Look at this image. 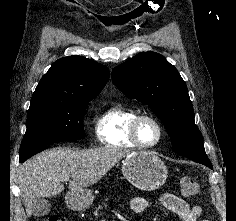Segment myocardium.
<instances>
[{"instance_id":"1","label":"myocardium","mask_w":236,"mask_h":221,"mask_svg":"<svg viewBox=\"0 0 236 221\" xmlns=\"http://www.w3.org/2000/svg\"><path fill=\"white\" fill-rule=\"evenodd\" d=\"M144 120H149L152 123H154V125L156 126V128L158 130V137L154 143L144 144L139 138V135H138L139 126H140L141 122ZM163 136H164V128H163L161 122L153 115L139 114L132 120V122L130 124L129 138L138 148H141V149L154 148L160 144Z\"/></svg>"}]
</instances>
